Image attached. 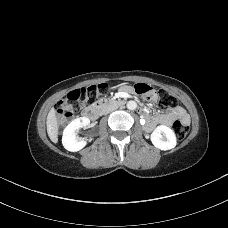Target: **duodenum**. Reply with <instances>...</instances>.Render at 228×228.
I'll use <instances>...</instances> for the list:
<instances>
[{"label": "duodenum", "instance_id": "410a0bca", "mask_svg": "<svg viewBox=\"0 0 228 228\" xmlns=\"http://www.w3.org/2000/svg\"><path fill=\"white\" fill-rule=\"evenodd\" d=\"M125 104V101L122 99H104L99 101L98 103H96L93 106L87 107L82 111V117L84 119L90 120V121H94L96 120L103 108H105L106 106H123ZM160 120L158 119L157 116L155 117H151V118H146V122H145V127H152L154 124L158 123Z\"/></svg>", "mask_w": 228, "mask_h": 228}]
</instances>
